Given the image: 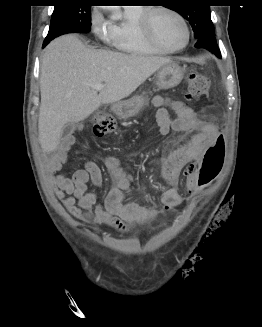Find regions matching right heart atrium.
I'll use <instances>...</instances> for the list:
<instances>
[{"instance_id": "d8ad5b80", "label": "right heart atrium", "mask_w": 262, "mask_h": 327, "mask_svg": "<svg viewBox=\"0 0 262 327\" xmlns=\"http://www.w3.org/2000/svg\"><path fill=\"white\" fill-rule=\"evenodd\" d=\"M90 25L92 31L101 39L108 40L111 38V30L101 13L93 11L91 13Z\"/></svg>"}]
</instances>
